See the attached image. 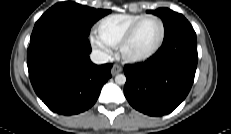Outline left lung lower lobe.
<instances>
[{
	"label": "left lung lower lobe",
	"mask_w": 231,
	"mask_h": 134,
	"mask_svg": "<svg viewBox=\"0 0 231 134\" xmlns=\"http://www.w3.org/2000/svg\"><path fill=\"white\" fill-rule=\"evenodd\" d=\"M197 61L196 36L164 43L149 61L125 66V97L132 107L144 114H168L188 95Z\"/></svg>",
	"instance_id": "left-lung-lower-lobe-1"
}]
</instances>
